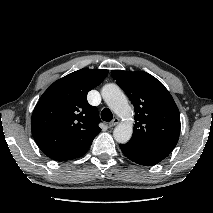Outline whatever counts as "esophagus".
Instances as JSON below:
<instances>
[{"label": "esophagus", "mask_w": 213, "mask_h": 213, "mask_svg": "<svg viewBox=\"0 0 213 213\" xmlns=\"http://www.w3.org/2000/svg\"><path fill=\"white\" fill-rule=\"evenodd\" d=\"M119 123V119L118 118H114L110 123H109V127H114L115 125H117Z\"/></svg>", "instance_id": "esophagus-1"}]
</instances>
